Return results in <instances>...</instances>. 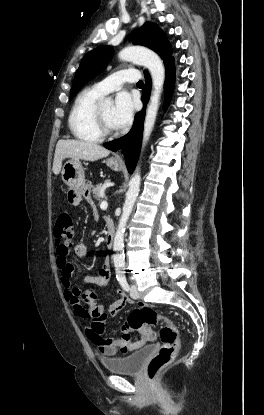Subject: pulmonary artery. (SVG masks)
<instances>
[{
  "instance_id": "obj_1",
  "label": "pulmonary artery",
  "mask_w": 264,
  "mask_h": 415,
  "mask_svg": "<svg viewBox=\"0 0 264 415\" xmlns=\"http://www.w3.org/2000/svg\"><path fill=\"white\" fill-rule=\"evenodd\" d=\"M139 78L140 75L137 72L121 70L94 84L91 90L102 96L120 89L125 82H137L139 81Z\"/></svg>"
}]
</instances>
